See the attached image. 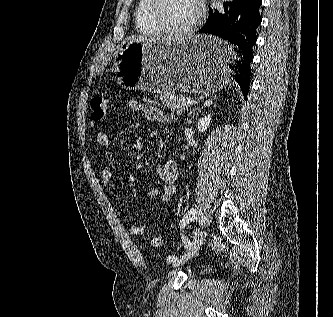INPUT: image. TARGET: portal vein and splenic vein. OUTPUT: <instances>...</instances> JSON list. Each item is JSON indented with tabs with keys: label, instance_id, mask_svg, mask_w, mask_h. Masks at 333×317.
Masks as SVG:
<instances>
[{
	"label": "portal vein and splenic vein",
	"instance_id": "obj_1",
	"mask_svg": "<svg viewBox=\"0 0 333 317\" xmlns=\"http://www.w3.org/2000/svg\"><path fill=\"white\" fill-rule=\"evenodd\" d=\"M196 101L194 99H188L187 104L188 105H193Z\"/></svg>",
	"mask_w": 333,
	"mask_h": 317
}]
</instances>
